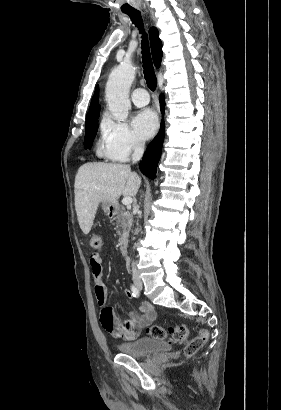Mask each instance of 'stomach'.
<instances>
[{
	"label": "stomach",
	"instance_id": "0dacf381",
	"mask_svg": "<svg viewBox=\"0 0 281 410\" xmlns=\"http://www.w3.org/2000/svg\"><path fill=\"white\" fill-rule=\"evenodd\" d=\"M102 208L108 216H113L115 214V204L113 203L102 202Z\"/></svg>",
	"mask_w": 281,
	"mask_h": 410
}]
</instances>
